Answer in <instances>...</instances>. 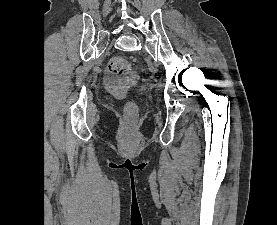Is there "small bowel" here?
I'll return each mask as SVG.
<instances>
[{
	"mask_svg": "<svg viewBox=\"0 0 277 225\" xmlns=\"http://www.w3.org/2000/svg\"><path fill=\"white\" fill-rule=\"evenodd\" d=\"M106 83H107V85L112 87L116 84V80L112 76L108 75L106 77Z\"/></svg>",
	"mask_w": 277,
	"mask_h": 225,
	"instance_id": "1",
	"label": "small bowel"
}]
</instances>
